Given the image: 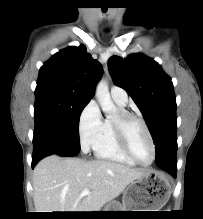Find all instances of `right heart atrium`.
Wrapping results in <instances>:
<instances>
[{
    "label": "right heart atrium",
    "mask_w": 203,
    "mask_h": 219,
    "mask_svg": "<svg viewBox=\"0 0 203 219\" xmlns=\"http://www.w3.org/2000/svg\"><path fill=\"white\" fill-rule=\"evenodd\" d=\"M102 116L95 101H90L82 110L78 121V134L83 152L93 148L102 126Z\"/></svg>",
    "instance_id": "d8ad5b80"
}]
</instances>
